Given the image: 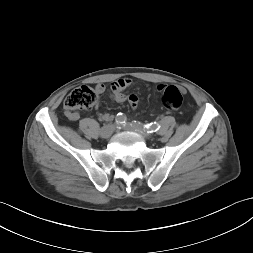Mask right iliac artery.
I'll return each mask as SVG.
<instances>
[{
    "instance_id": "right-iliac-artery-1",
    "label": "right iliac artery",
    "mask_w": 253,
    "mask_h": 253,
    "mask_svg": "<svg viewBox=\"0 0 253 253\" xmlns=\"http://www.w3.org/2000/svg\"><path fill=\"white\" fill-rule=\"evenodd\" d=\"M115 121L118 126H124L126 124L127 118L123 113H118L116 115Z\"/></svg>"
}]
</instances>
